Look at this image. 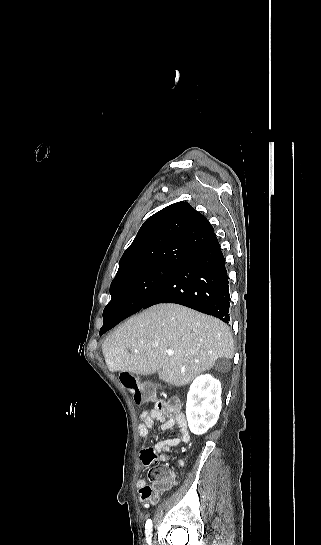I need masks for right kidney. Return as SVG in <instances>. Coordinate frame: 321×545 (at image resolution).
Here are the masks:
<instances>
[{"label":"right kidney","mask_w":321,"mask_h":545,"mask_svg":"<svg viewBox=\"0 0 321 545\" xmlns=\"http://www.w3.org/2000/svg\"><path fill=\"white\" fill-rule=\"evenodd\" d=\"M220 381L200 375L190 385L186 403L188 427L194 435H204L217 423L221 411Z\"/></svg>","instance_id":"right-kidney-1"}]
</instances>
